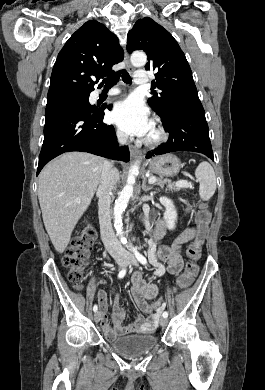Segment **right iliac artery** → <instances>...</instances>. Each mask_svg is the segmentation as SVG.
Instances as JSON below:
<instances>
[{
	"instance_id": "82829eb1",
	"label": "right iliac artery",
	"mask_w": 265,
	"mask_h": 390,
	"mask_svg": "<svg viewBox=\"0 0 265 390\" xmlns=\"http://www.w3.org/2000/svg\"><path fill=\"white\" fill-rule=\"evenodd\" d=\"M126 272H127V268L124 267L118 274V278H123L125 275H126ZM98 310V307L97 305H94L93 307V311L96 312Z\"/></svg>"
}]
</instances>
